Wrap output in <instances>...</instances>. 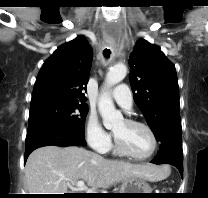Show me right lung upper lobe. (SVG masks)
I'll return each mask as SVG.
<instances>
[{
    "label": "right lung upper lobe",
    "mask_w": 208,
    "mask_h": 198,
    "mask_svg": "<svg viewBox=\"0 0 208 198\" xmlns=\"http://www.w3.org/2000/svg\"><path fill=\"white\" fill-rule=\"evenodd\" d=\"M91 62L92 51L83 36L58 47L37 76L30 107L54 101L83 103Z\"/></svg>",
    "instance_id": "obj_1"
}]
</instances>
